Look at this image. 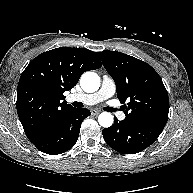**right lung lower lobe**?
<instances>
[{
  "label": "right lung lower lobe",
  "instance_id": "98d812e1",
  "mask_svg": "<svg viewBox=\"0 0 193 193\" xmlns=\"http://www.w3.org/2000/svg\"><path fill=\"white\" fill-rule=\"evenodd\" d=\"M90 115L86 108H74L53 123L43 134L30 140L38 150L50 154H61L77 142L82 121Z\"/></svg>",
  "mask_w": 193,
  "mask_h": 193
}]
</instances>
